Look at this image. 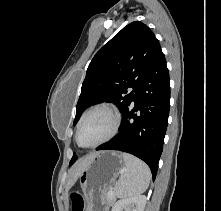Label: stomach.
<instances>
[{"instance_id":"1","label":"stomach","mask_w":221,"mask_h":211,"mask_svg":"<svg viewBox=\"0 0 221 211\" xmlns=\"http://www.w3.org/2000/svg\"><path fill=\"white\" fill-rule=\"evenodd\" d=\"M125 166L120 152L102 151L96 153L79 176L85 200L92 203L97 198L105 199L107 190L124 171Z\"/></svg>"}]
</instances>
